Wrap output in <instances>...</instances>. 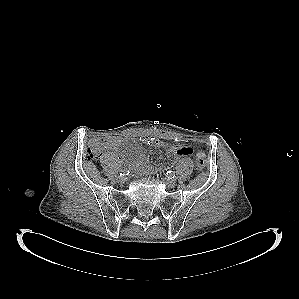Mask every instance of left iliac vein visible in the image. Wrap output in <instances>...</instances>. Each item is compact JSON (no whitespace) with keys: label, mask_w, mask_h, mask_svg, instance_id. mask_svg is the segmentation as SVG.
Returning a JSON list of instances; mask_svg holds the SVG:
<instances>
[{"label":"left iliac vein","mask_w":299,"mask_h":299,"mask_svg":"<svg viewBox=\"0 0 299 299\" xmlns=\"http://www.w3.org/2000/svg\"><path fill=\"white\" fill-rule=\"evenodd\" d=\"M164 183L170 188H173L176 185V181L170 178L164 179Z\"/></svg>","instance_id":"left-iliac-vein-1"}]
</instances>
